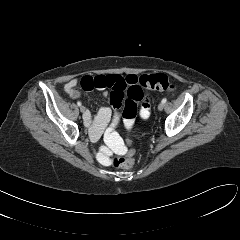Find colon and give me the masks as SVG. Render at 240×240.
Masks as SVG:
<instances>
[{
    "instance_id": "colon-1",
    "label": "colon",
    "mask_w": 240,
    "mask_h": 240,
    "mask_svg": "<svg viewBox=\"0 0 240 240\" xmlns=\"http://www.w3.org/2000/svg\"><path fill=\"white\" fill-rule=\"evenodd\" d=\"M141 87L153 91H172L175 89V83L164 73H153L142 75L139 78L138 86H131L126 92L123 117L126 121L133 123L137 113V103L141 101ZM135 161V152L130 149L124 156H117L113 159V165L120 169H128L133 166Z\"/></svg>"
}]
</instances>
